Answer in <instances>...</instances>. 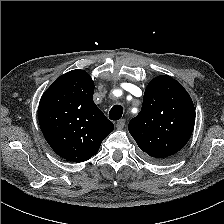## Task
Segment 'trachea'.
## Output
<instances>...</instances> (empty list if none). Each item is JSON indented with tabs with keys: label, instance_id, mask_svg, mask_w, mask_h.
<instances>
[{
	"label": "trachea",
	"instance_id": "3493384b",
	"mask_svg": "<svg viewBox=\"0 0 224 224\" xmlns=\"http://www.w3.org/2000/svg\"><path fill=\"white\" fill-rule=\"evenodd\" d=\"M123 114V107L120 105H114L110 112H109V118L111 120H119L122 117Z\"/></svg>",
	"mask_w": 224,
	"mask_h": 224
}]
</instances>
